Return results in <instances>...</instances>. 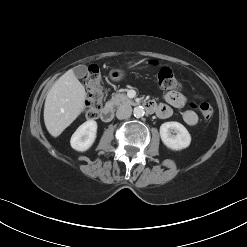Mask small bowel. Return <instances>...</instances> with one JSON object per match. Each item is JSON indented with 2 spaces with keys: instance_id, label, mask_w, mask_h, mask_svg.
Wrapping results in <instances>:
<instances>
[{
  "instance_id": "small-bowel-1",
  "label": "small bowel",
  "mask_w": 247,
  "mask_h": 247,
  "mask_svg": "<svg viewBox=\"0 0 247 247\" xmlns=\"http://www.w3.org/2000/svg\"><path fill=\"white\" fill-rule=\"evenodd\" d=\"M166 103L156 105L155 113L158 117L165 119L172 115L173 108H183L187 104V98L180 92L170 91L164 95ZM184 122L189 126H194L198 122V116L195 111L187 109L182 113Z\"/></svg>"
}]
</instances>
